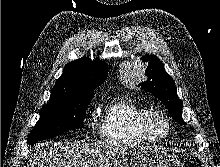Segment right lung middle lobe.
I'll return each mask as SVG.
<instances>
[{"label": "right lung middle lobe", "instance_id": "1", "mask_svg": "<svg viewBox=\"0 0 220 167\" xmlns=\"http://www.w3.org/2000/svg\"><path fill=\"white\" fill-rule=\"evenodd\" d=\"M93 95V93L76 94L49 100L43 106L40 119L28 137V144L33 145L37 141L81 127Z\"/></svg>", "mask_w": 220, "mask_h": 167}]
</instances>
